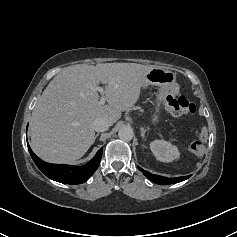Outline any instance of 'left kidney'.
Returning a JSON list of instances; mask_svg holds the SVG:
<instances>
[{"mask_svg": "<svg viewBox=\"0 0 237 237\" xmlns=\"http://www.w3.org/2000/svg\"><path fill=\"white\" fill-rule=\"evenodd\" d=\"M150 149L157 160L161 162H172L179 158V151L175 145L165 140H155L150 143Z\"/></svg>", "mask_w": 237, "mask_h": 237, "instance_id": "left-kidney-1", "label": "left kidney"}]
</instances>
